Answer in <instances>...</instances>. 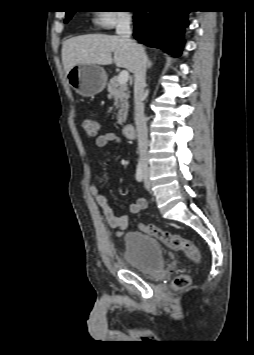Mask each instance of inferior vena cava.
I'll use <instances>...</instances> for the list:
<instances>
[{"instance_id": "obj_1", "label": "inferior vena cava", "mask_w": 254, "mask_h": 355, "mask_svg": "<svg viewBox=\"0 0 254 355\" xmlns=\"http://www.w3.org/2000/svg\"><path fill=\"white\" fill-rule=\"evenodd\" d=\"M131 17L122 16L117 24V35L126 42L132 49L135 59L134 66V98H135V125L137 131L138 149L143 169L148 168L147 147L148 133L146 118L144 114V87L147 68V57L141 45L130 39Z\"/></svg>"}]
</instances>
